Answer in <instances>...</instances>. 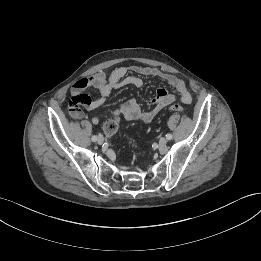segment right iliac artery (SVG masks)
Listing matches in <instances>:
<instances>
[{"label": "right iliac artery", "instance_id": "1", "mask_svg": "<svg viewBox=\"0 0 261 261\" xmlns=\"http://www.w3.org/2000/svg\"><path fill=\"white\" fill-rule=\"evenodd\" d=\"M97 140V136H92V141L95 142Z\"/></svg>", "mask_w": 261, "mask_h": 261}]
</instances>
